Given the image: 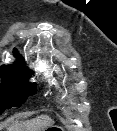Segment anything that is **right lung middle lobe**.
<instances>
[{
    "label": "right lung middle lobe",
    "mask_w": 117,
    "mask_h": 131,
    "mask_svg": "<svg viewBox=\"0 0 117 131\" xmlns=\"http://www.w3.org/2000/svg\"><path fill=\"white\" fill-rule=\"evenodd\" d=\"M24 70L11 68L0 70V114L5 109L19 107L36 93L35 83H30Z\"/></svg>",
    "instance_id": "right-lung-middle-lobe-1"
}]
</instances>
